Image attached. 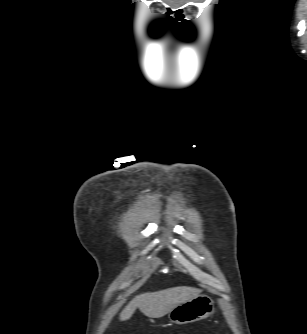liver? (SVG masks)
I'll return each instance as SVG.
<instances>
[{"label":"liver","instance_id":"liver-1","mask_svg":"<svg viewBox=\"0 0 307 334\" xmlns=\"http://www.w3.org/2000/svg\"><path fill=\"white\" fill-rule=\"evenodd\" d=\"M201 290L192 287H174L152 293L135 296L121 311L120 321L129 320L136 309L147 317L160 318L177 305L189 301L200 294Z\"/></svg>","mask_w":307,"mask_h":334}]
</instances>
